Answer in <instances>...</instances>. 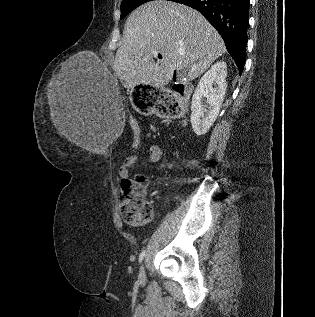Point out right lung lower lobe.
Masks as SVG:
<instances>
[{"label": "right lung lower lobe", "instance_id": "obj_1", "mask_svg": "<svg viewBox=\"0 0 315 317\" xmlns=\"http://www.w3.org/2000/svg\"><path fill=\"white\" fill-rule=\"evenodd\" d=\"M204 15L223 38L240 74L246 60L249 0H175Z\"/></svg>", "mask_w": 315, "mask_h": 317}]
</instances>
